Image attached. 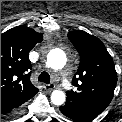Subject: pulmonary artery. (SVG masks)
Masks as SVG:
<instances>
[{"mask_svg":"<svg viewBox=\"0 0 122 122\" xmlns=\"http://www.w3.org/2000/svg\"><path fill=\"white\" fill-rule=\"evenodd\" d=\"M63 86L65 87V88H68L70 85H69V82L66 80V79H64L63 80Z\"/></svg>","mask_w":122,"mask_h":122,"instance_id":"e3ab8cb5","label":"pulmonary artery"}]
</instances>
